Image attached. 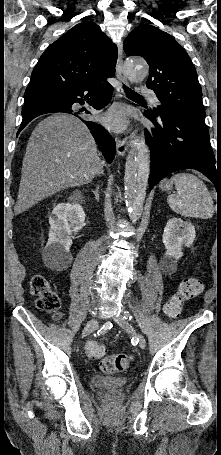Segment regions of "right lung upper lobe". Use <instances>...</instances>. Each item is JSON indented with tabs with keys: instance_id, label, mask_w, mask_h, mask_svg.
<instances>
[{
	"instance_id": "cb5924a9",
	"label": "right lung upper lobe",
	"mask_w": 221,
	"mask_h": 455,
	"mask_svg": "<svg viewBox=\"0 0 221 455\" xmlns=\"http://www.w3.org/2000/svg\"><path fill=\"white\" fill-rule=\"evenodd\" d=\"M117 47L93 22L75 25L51 44L36 64L25 104L52 98L69 87L115 73Z\"/></svg>"
}]
</instances>
